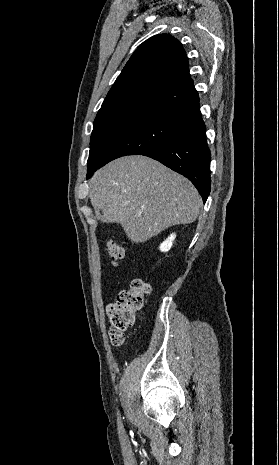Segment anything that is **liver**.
Wrapping results in <instances>:
<instances>
[{
	"instance_id": "obj_1",
	"label": "liver",
	"mask_w": 279,
	"mask_h": 465,
	"mask_svg": "<svg viewBox=\"0 0 279 465\" xmlns=\"http://www.w3.org/2000/svg\"><path fill=\"white\" fill-rule=\"evenodd\" d=\"M89 197L96 218L120 224L132 243L194 222L201 207L199 193L187 178L142 155L121 157L99 169Z\"/></svg>"
}]
</instances>
